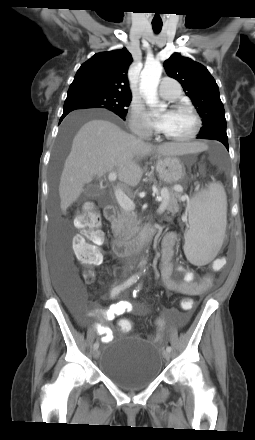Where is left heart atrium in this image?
Wrapping results in <instances>:
<instances>
[{
    "label": "left heart atrium",
    "mask_w": 255,
    "mask_h": 440,
    "mask_svg": "<svg viewBox=\"0 0 255 440\" xmlns=\"http://www.w3.org/2000/svg\"><path fill=\"white\" fill-rule=\"evenodd\" d=\"M171 112H166L162 114H157L154 112L150 113V120L152 125L159 131H165L170 123Z\"/></svg>",
    "instance_id": "39dd6f15"
}]
</instances>
